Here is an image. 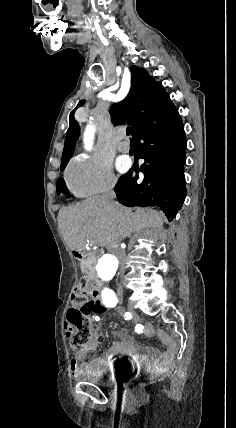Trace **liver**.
<instances>
[{
  "mask_svg": "<svg viewBox=\"0 0 236 428\" xmlns=\"http://www.w3.org/2000/svg\"><path fill=\"white\" fill-rule=\"evenodd\" d=\"M57 220L68 248L80 254L87 240L94 246L111 248L134 232L149 230V236H157L163 228L160 212L151 208L132 212L119 204L110 208L104 196H92L77 206L60 210Z\"/></svg>",
  "mask_w": 236,
  "mask_h": 428,
  "instance_id": "6515ba94",
  "label": "liver"
}]
</instances>
